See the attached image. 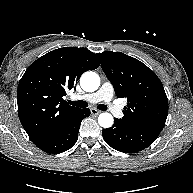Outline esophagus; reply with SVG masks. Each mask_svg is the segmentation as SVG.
I'll list each match as a JSON object with an SVG mask.
<instances>
[{"label":"esophagus","mask_w":193,"mask_h":193,"mask_svg":"<svg viewBox=\"0 0 193 193\" xmlns=\"http://www.w3.org/2000/svg\"><path fill=\"white\" fill-rule=\"evenodd\" d=\"M90 112H91V114L94 115V116H97V115H99V114L101 113V111H99V110H97V109H95V108H92V109L90 110Z\"/></svg>","instance_id":"obj_1"}]
</instances>
